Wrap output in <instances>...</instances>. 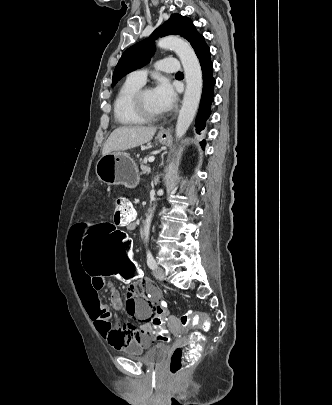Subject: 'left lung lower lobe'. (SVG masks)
Masks as SVG:
<instances>
[{"label": "left lung lower lobe", "instance_id": "obj_1", "mask_svg": "<svg viewBox=\"0 0 332 405\" xmlns=\"http://www.w3.org/2000/svg\"><path fill=\"white\" fill-rule=\"evenodd\" d=\"M197 57L203 73V90L199 106V111L196 117V132L200 133L205 128L206 121L211 114V106L214 101V86L215 79L213 77V63L210 58V48L205 45L198 53ZM202 147H205V140L201 142Z\"/></svg>", "mask_w": 332, "mask_h": 405}]
</instances>
